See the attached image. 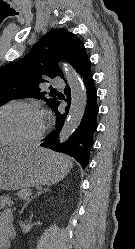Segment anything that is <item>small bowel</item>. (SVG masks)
I'll return each instance as SVG.
<instances>
[{"label":"small bowel","instance_id":"c3829d8e","mask_svg":"<svg viewBox=\"0 0 135 249\" xmlns=\"http://www.w3.org/2000/svg\"><path fill=\"white\" fill-rule=\"evenodd\" d=\"M5 205V201L0 198V208ZM15 237L13 227V216L9 210L0 213V248L7 249L10 239Z\"/></svg>","mask_w":135,"mask_h":249}]
</instances>
